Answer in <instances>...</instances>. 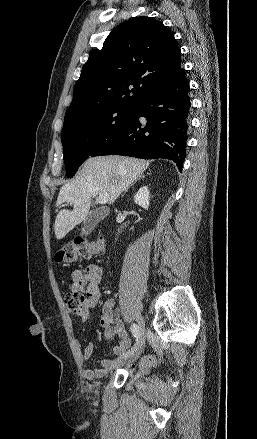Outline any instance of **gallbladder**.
<instances>
[{"mask_svg":"<svg viewBox=\"0 0 257 439\" xmlns=\"http://www.w3.org/2000/svg\"><path fill=\"white\" fill-rule=\"evenodd\" d=\"M100 219L101 217L99 214L95 211H92L84 222L81 234L88 235L95 228Z\"/></svg>","mask_w":257,"mask_h":439,"instance_id":"gallbladder-1","label":"gallbladder"}]
</instances>
